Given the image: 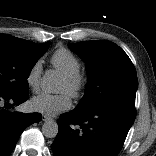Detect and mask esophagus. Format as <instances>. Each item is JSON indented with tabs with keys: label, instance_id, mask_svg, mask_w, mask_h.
Returning <instances> with one entry per match:
<instances>
[{
	"label": "esophagus",
	"instance_id": "esophagus-1",
	"mask_svg": "<svg viewBox=\"0 0 156 156\" xmlns=\"http://www.w3.org/2000/svg\"><path fill=\"white\" fill-rule=\"evenodd\" d=\"M42 120L46 122V121L52 120V118L48 115H43Z\"/></svg>",
	"mask_w": 156,
	"mask_h": 156
}]
</instances>
